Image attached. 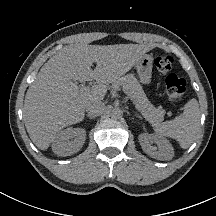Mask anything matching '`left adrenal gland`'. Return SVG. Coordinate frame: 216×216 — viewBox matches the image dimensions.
Masks as SVG:
<instances>
[{
  "label": "left adrenal gland",
  "mask_w": 216,
  "mask_h": 216,
  "mask_svg": "<svg viewBox=\"0 0 216 216\" xmlns=\"http://www.w3.org/2000/svg\"><path fill=\"white\" fill-rule=\"evenodd\" d=\"M135 116H136L137 118H139V119H142V117H141V116H139V115H137V114H135Z\"/></svg>",
  "instance_id": "obj_1"
}]
</instances>
